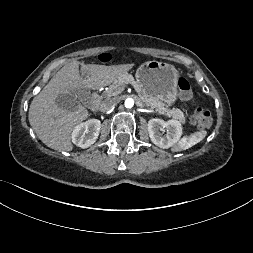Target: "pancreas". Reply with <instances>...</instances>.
<instances>
[{
    "instance_id": "obj_1",
    "label": "pancreas",
    "mask_w": 253,
    "mask_h": 253,
    "mask_svg": "<svg viewBox=\"0 0 253 253\" xmlns=\"http://www.w3.org/2000/svg\"><path fill=\"white\" fill-rule=\"evenodd\" d=\"M126 84H131L135 88L140 99L147 107L155 109L159 114L172 117L173 119L178 120L181 123H185V115L180 109L178 108L170 109L169 106L165 105L162 101L142 93L141 89L139 88L138 84L136 83L131 74H125L121 76L118 81L110 85L108 90L106 91V96L107 97L117 96L124 90Z\"/></svg>"
}]
</instances>
